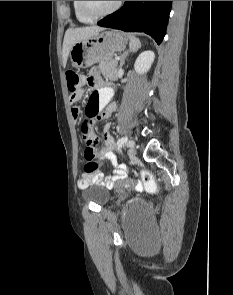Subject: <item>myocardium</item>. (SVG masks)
I'll return each mask as SVG.
<instances>
[{"label":"myocardium","mask_w":233,"mask_h":295,"mask_svg":"<svg viewBox=\"0 0 233 295\" xmlns=\"http://www.w3.org/2000/svg\"><path fill=\"white\" fill-rule=\"evenodd\" d=\"M122 3H123V1H116V3L109 10L102 12V13H98V14H94V13L90 12L86 8L84 1H78V8H79V11L81 12V14H83L85 17L95 20V19L103 18V17L113 14L114 12H116L120 8Z\"/></svg>","instance_id":"myocardium-1"}]
</instances>
